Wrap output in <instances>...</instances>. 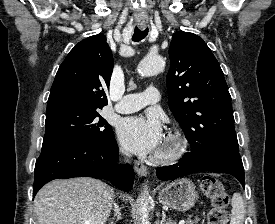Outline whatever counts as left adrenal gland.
Wrapping results in <instances>:
<instances>
[{
    "label": "left adrenal gland",
    "mask_w": 275,
    "mask_h": 224,
    "mask_svg": "<svg viewBox=\"0 0 275 224\" xmlns=\"http://www.w3.org/2000/svg\"><path fill=\"white\" fill-rule=\"evenodd\" d=\"M160 224H174V223L171 220L166 219V214L163 211L162 212V220H161Z\"/></svg>",
    "instance_id": "1"
}]
</instances>
